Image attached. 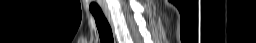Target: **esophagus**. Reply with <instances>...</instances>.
Wrapping results in <instances>:
<instances>
[{
	"mask_svg": "<svg viewBox=\"0 0 256 43\" xmlns=\"http://www.w3.org/2000/svg\"><path fill=\"white\" fill-rule=\"evenodd\" d=\"M104 14H105V17L107 18L111 28H112V31H113V37H114V43H119L117 37H116V33H115V30H114V23H113V19H112V16H111V13L109 11V9H104Z\"/></svg>",
	"mask_w": 256,
	"mask_h": 43,
	"instance_id": "esophagus-1",
	"label": "esophagus"
}]
</instances>
